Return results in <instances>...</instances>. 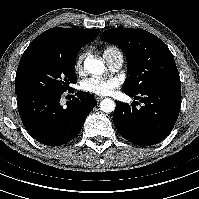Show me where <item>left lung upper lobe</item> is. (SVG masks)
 <instances>
[{
    "mask_svg": "<svg viewBox=\"0 0 199 199\" xmlns=\"http://www.w3.org/2000/svg\"><path fill=\"white\" fill-rule=\"evenodd\" d=\"M101 38L119 46L128 61V74L122 90L139 94L147 89L179 85L174 57L158 37L142 29L115 28L105 30Z\"/></svg>",
    "mask_w": 199,
    "mask_h": 199,
    "instance_id": "left-lung-upper-lobe-1",
    "label": "left lung upper lobe"
}]
</instances>
